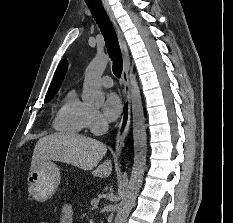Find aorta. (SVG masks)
<instances>
[{"label":"aorta","instance_id":"1","mask_svg":"<svg viewBox=\"0 0 233 223\" xmlns=\"http://www.w3.org/2000/svg\"><path fill=\"white\" fill-rule=\"evenodd\" d=\"M107 64L108 58L104 56V58H94L88 68H86L82 94L84 104L103 106L105 94L102 92L100 80ZM130 90L133 115L134 163L129 183L122 197L121 215L128 213L135 203L138 191L142 185L147 153L145 117L140 88L134 74H130Z\"/></svg>","mask_w":233,"mask_h":223}]
</instances>
